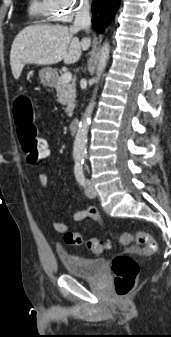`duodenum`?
<instances>
[{
	"mask_svg": "<svg viewBox=\"0 0 171 337\" xmlns=\"http://www.w3.org/2000/svg\"><path fill=\"white\" fill-rule=\"evenodd\" d=\"M79 129V121L72 120L68 125V130L71 134H76Z\"/></svg>",
	"mask_w": 171,
	"mask_h": 337,
	"instance_id": "1",
	"label": "duodenum"
}]
</instances>
